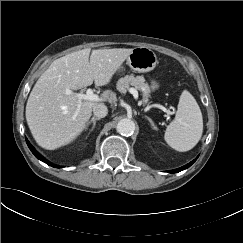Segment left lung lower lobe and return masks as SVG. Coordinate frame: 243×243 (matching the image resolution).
Segmentation results:
<instances>
[{"label": "left lung lower lobe", "instance_id": "obj_1", "mask_svg": "<svg viewBox=\"0 0 243 243\" xmlns=\"http://www.w3.org/2000/svg\"><path fill=\"white\" fill-rule=\"evenodd\" d=\"M196 161V159H194L193 161H191L190 163H188L187 165L181 167V168H178V169H175V170H170L168 171L169 173H176V172H180L182 170H185L187 169L188 167H190L194 162Z\"/></svg>", "mask_w": 243, "mask_h": 243}]
</instances>
